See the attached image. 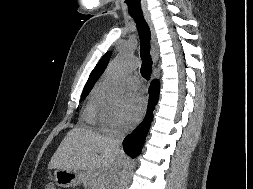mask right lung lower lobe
<instances>
[{"mask_svg":"<svg viewBox=\"0 0 253 189\" xmlns=\"http://www.w3.org/2000/svg\"><path fill=\"white\" fill-rule=\"evenodd\" d=\"M160 84L158 80H153L149 88V102L147 114L139 127H137L130 135L125 137L123 147L125 152L132 158L140 154L145 137L149 130L150 123L153 118L152 111L158 101Z\"/></svg>","mask_w":253,"mask_h":189,"instance_id":"98d812e1","label":"right lung lower lobe"}]
</instances>
